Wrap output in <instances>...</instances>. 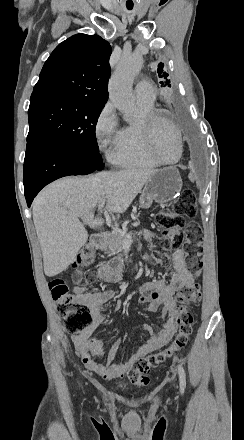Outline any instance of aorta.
Instances as JSON below:
<instances>
[{
	"label": "aorta",
	"mask_w": 244,
	"mask_h": 440,
	"mask_svg": "<svg viewBox=\"0 0 244 440\" xmlns=\"http://www.w3.org/2000/svg\"><path fill=\"white\" fill-rule=\"evenodd\" d=\"M142 64L143 59L139 54L124 56L109 81V97L126 121H130L134 114L135 100L132 94V85L135 76L142 68Z\"/></svg>",
	"instance_id": "1"
}]
</instances>
